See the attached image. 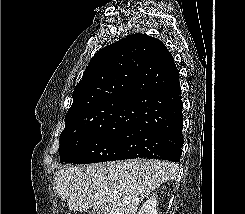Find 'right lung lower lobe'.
Wrapping results in <instances>:
<instances>
[{"mask_svg":"<svg viewBox=\"0 0 245 214\" xmlns=\"http://www.w3.org/2000/svg\"><path fill=\"white\" fill-rule=\"evenodd\" d=\"M116 160L149 158L178 162L182 153L183 104L179 71L173 59L161 92L142 98Z\"/></svg>","mask_w":245,"mask_h":214,"instance_id":"98d812e1","label":"right lung lower lobe"}]
</instances>
